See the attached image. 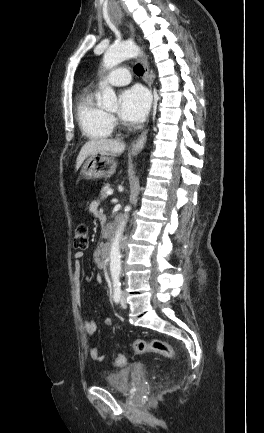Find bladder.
Here are the masks:
<instances>
[{
    "mask_svg": "<svg viewBox=\"0 0 264 433\" xmlns=\"http://www.w3.org/2000/svg\"><path fill=\"white\" fill-rule=\"evenodd\" d=\"M129 376L128 370L109 373L105 377V387L115 392L126 393L129 391Z\"/></svg>",
    "mask_w": 264,
    "mask_h": 433,
    "instance_id": "bladder-1",
    "label": "bladder"
}]
</instances>
